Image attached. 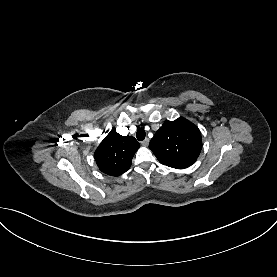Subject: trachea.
Returning <instances> with one entry per match:
<instances>
[{"mask_svg": "<svg viewBox=\"0 0 277 277\" xmlns=\"http://www.w3.org/2000/svg\"><path fill=\"white\" fill-rule=\"evenodd\" d=\"M145 136H146V133L143 129H139L137 132H136V137L139 141H142L145 139Z\"/></svg>", "mask_w": 277, "mask_h": 277, "instance_id": "trachea-1", "label": "trachea"}]
</instances>
